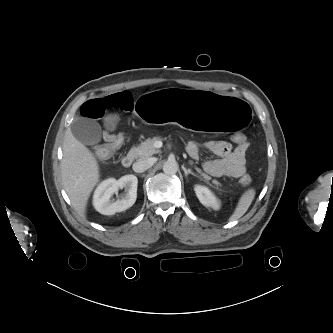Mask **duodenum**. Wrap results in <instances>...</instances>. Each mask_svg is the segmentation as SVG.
Instances as JSON below:
<instances>
[{
  "label": "duodenum",
  "mask_w": 333,
  "mask_h": 333,
  "mask_svg": "<svg viewBox=\"0 0 333 333\" xmlns=\"http://www.w3.org/2000/svg\"><path fill=\"white\" fill-rule=\"evenodd\" d=\"M133 156L131 154L126 155L123 159H122V165L125 168H128L132 165L133 163Z\"/></svg>",
  "instance_id": "410a0bca"
}]
</instances>
